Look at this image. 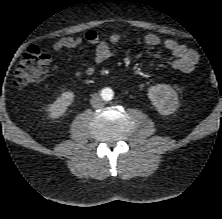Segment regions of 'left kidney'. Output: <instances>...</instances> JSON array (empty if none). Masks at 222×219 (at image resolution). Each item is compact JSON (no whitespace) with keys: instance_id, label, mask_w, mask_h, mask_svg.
I'll return each instance as SVG.
<instances>
[{"instance_id":"1","label":"left kidney","mask_w":222,"mask_h":219,"mask_svg":"<svg viewBox=\"0 0 222 219\" xmlns=\"http://www.w3.org/2000/svg\"><path fill=\"white\" fill-rule=\"evenodd\" d=\"M148 98L161 115L174 113L179 106V99L176 91L167 84H158L148 90Z\"/></svg>"}]
</instances>
